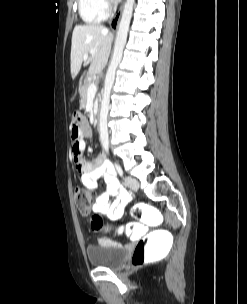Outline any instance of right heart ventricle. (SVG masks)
<instances>
[{"label": "right heart ventricle", "instance_id": "e07e8e85", "mask_svg": "<svg viewBox=\"0 0 247 304\" xmlns=\"http://www.w3.org/2000/svg\"><path fill=\"white\" fill-rule=\"evenodd\" d=\"M78 13L81 20L89 25L99 24L108 16L103 0H78Z\"/></svg>", "mask_w": 247, "mask_h": 304}]
</instances>
